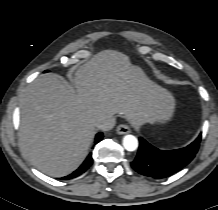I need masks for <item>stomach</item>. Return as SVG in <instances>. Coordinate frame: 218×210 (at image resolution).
<instances>
[{"mask_svg":"<svg viewBox=\"0 0 218 210\" xmlns=\"http://www.w3.org/2000/svg\"><path fill=\"white\" fill-rule=\"evenodd\" d=\"M156 122V116H151L150 118H149V121H148V123H150V124H154Z\"/></svg>","mask_w":218,"mask_h":210,"instance_id":"stomach-1","label":"stomach"}]
</instances>
